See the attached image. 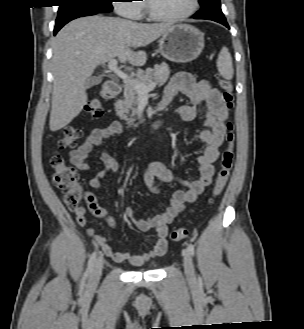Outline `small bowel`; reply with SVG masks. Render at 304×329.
I'll list each match as a JSON object with an SVG mask.
<instances>
[{
	"instance_id": "c3829d8e",
	"label": "small bowel",
	"mask_w": 304,
	"mask_h": 329,
	"mask_svg": "<svg viewBox=\"0 0 304 329\" xmlns=\"http://www.w3.org/2000/svg\"><path fill=\"white\" fill-rule=\"evenodd\" d=\"M179 95L185 96L189 103L181 104L176 111L181 120L189 122L199 114L204 116V128L199 137L205 143L203 154L198 157L199 178L193 181L178 179L167 166L160 162H151L147 165L144 182L148 190L154 194L159 193L157 182H179L184 189L176 190L170 199L168 208L161 214L150 219H140L134 214L131 207L124 209V214L133 226L141 231L154 229L157 241L152 250L145 254H135L127 251H115L110 247V239L95 233L91 228L87 233L101 248L103 254L116 262L128 261L133 265H141L146 260L162 255L167 249L168 225L183 210L186 203L194 202L197 197L209 186L214 176V163L220 154V148L226 135L225 122L228 110L223 101L222 94L208 81L196 82L189 73L179 72L174 75L165 89L161 101V108H166L175 102ZM201 105H204L201 108ZM123 126L119 121H113L108 126L95 129L87 139L76 149L70 152L71 163L81 171H89L91 166L88 158L94 148L101 147L105 140L120 134ZM101 160L104 168L97 172L89 181L92 189L98 190L102 180L110 174L116 173L120 165L110 154L103 152ZM102 196L92 192L85 193V202L88 210L97 218L105 220L110 226L115 227V220L100 206ZM76 220L80 226L87 224V217L83 208L76 211Z\"/></svg>"
}]
</instances>
